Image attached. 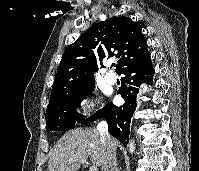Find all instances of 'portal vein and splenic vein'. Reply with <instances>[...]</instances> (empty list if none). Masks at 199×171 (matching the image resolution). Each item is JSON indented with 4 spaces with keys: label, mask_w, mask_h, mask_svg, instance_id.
I'll use <instances>...</instances> for the list:
<instances>
[{
    "label": "portal vein and splenic vein",
    "mask_w": 199,
    "mask_h": 171,
    "mask_svg": "<svg viewBox=\"0 0 199 171\" xmlns=\"http://www.w3.org/2000/svg\"><path fill=\"white\" fill-rule=\"evenodd\" d=\"M80 163H82V164L86 163V159H81ZM90 171H98V167L97 166H91Z\"/></svg>",
    "instance_id": "obj_1"
}]
</instances>
